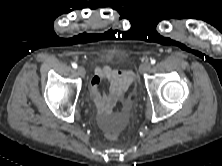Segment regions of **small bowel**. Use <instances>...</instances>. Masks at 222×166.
Returning <instances> with one entry per match:
<instances>
[{"label":"small bowel","mask_w":222,"mask_h":166,"mask_svg":"<svg viewBox=\"0 0 222 166\" xmlns=\"http://www.w3.org/2000/svg\"><path fill=\"white\" fill-rule=\"evenodd\" d=\"M102 80L109 83L108 92L100 90ZM134 80L132 71L126 69H113L108 65L96 67L91 79L90 87L94 104L100 114L101 124L106 130L111 129L108 119L116 103L123 98Z\"/></svg>","instance_id":"1"}]
</instances>
